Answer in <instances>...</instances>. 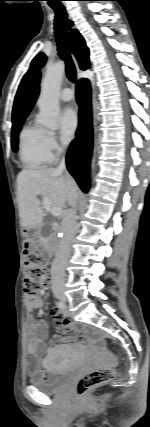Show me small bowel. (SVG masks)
Here are the masks:
<instances>
[{
    "mask_svg": "<svg viewBox=\"0 0 150 427\" xmlns=\"http://www.w3.org/2000/svg\"><path fill=\"white\" fill-rule=\"evenodd\" d=\"M45 303V298L43 293L37 294L35 296H29L27 298V310L29 312V340L27 342V352L29 355L37 357L40 352L46 350V341L48 340V325L42 319H34L32 317V312L40 308ZM53 318L56 320L59 325L60 330L63 333H67L74 329V324L71 323L68 319L64 318L62 312L59 309H55L52 312ZM63 341H68V338H62ZM50 356H46L44 363L48 366L50 362ZM29 376L33 379H43L45 374L34 365L29 366Z\"/></svg>",
    "mask_w": 150,
    "mask_h": 427,
    "instance_id": "obj_1",
    "label": "small bowel"
}]
</instances>
